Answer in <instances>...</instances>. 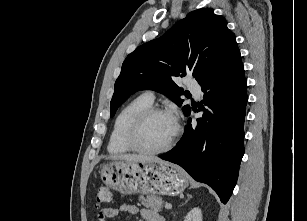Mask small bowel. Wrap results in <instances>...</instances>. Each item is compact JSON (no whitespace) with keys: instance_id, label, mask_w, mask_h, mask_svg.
I'll return each instance as SVG.
<instances>
[{"instance_id":"obj_1","label":"small bowel","mask_w":307,"mask_h":221,"mask_svg":"<svg viewBox=\"0 0 307 221\" xmlns=\"http://www.w3.org/2000/svg\"><path fill=\"white\" fill-rule=\"evenodd\" d=\"M121 213L129 215L140 214L144 221H164V218L153 209H139L136 205L122 204L116 207L104 208L99 211L96 221H106L109 218H114Z\"/></svg>"}]
</instances>
